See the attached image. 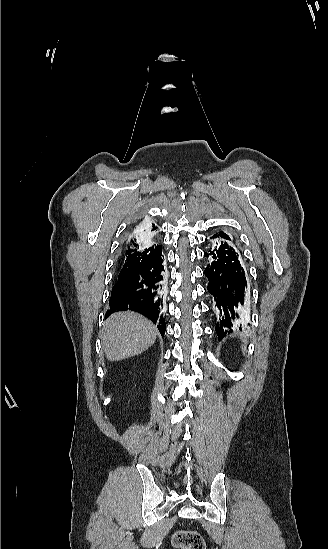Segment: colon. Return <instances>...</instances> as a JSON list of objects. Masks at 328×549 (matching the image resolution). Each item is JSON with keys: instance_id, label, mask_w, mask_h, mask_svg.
<instances>
[{"instance_id": "1", "label": "colon", "mask_w": 328, "mask_h": 549, "mask_svg": "<svg viewBox=\"0 0 328 549\" xmlns=\"http://www.w3.org/2000/svg\"><path fill=\"white\" fill-rule=\"evenodd\" d=\"M172 544L178 549H205L203 537L193 530H179L172 537Z\"/></svg>"}]
</instances>
